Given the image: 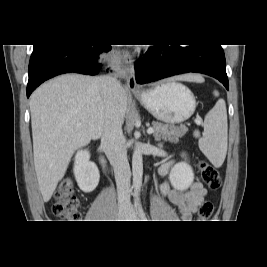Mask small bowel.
Wrapping results in <instances>:
<instances>
[{
	"label": "small bowel",
	"instance_id": "1",
	"mask_svg": "<svg viewBox=\"0 0 267 267\" xmlns=\"http://www.w3.org/2000/svg\"><path fill=\"white\" fill-rule=\"evenodd\" d=\"M173 162L169 161L164 163L159 168L161 176H167ZM162 195L167 196L169 200L178 208L181 218L188 221L192 218L193 213L197 210L198 206L204 200L206 189L201 183H194L190 190L182 192L179 190L171 189L167 180H165L159 187Z\"/></svg>",
	"mask_w": 267,
	"mask_h": 267
}]
</instances>
